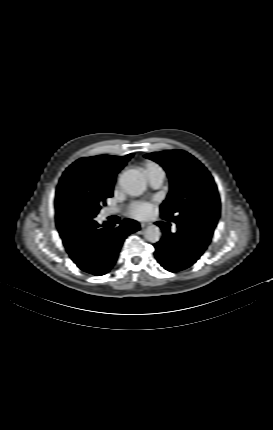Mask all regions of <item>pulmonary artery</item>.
I'll return each instance as SVG.
<instances>
[{"label":"pulmonary artery","mask_w":273,"mask_h":430,"mask_svg":"<svg viewBox=\"0 0 273 430\" xmlns=\"http://www.w3.org/2000/svg\"><path fill=\"white\" fill-rule=\"evenodd\" d=\"M148 180L150 182V185L152 186V188L154 189H158L161 187L163 181H164V172L162 169L160 170H155L153 172H151L148 176ZM106 213L108 215H111L114 213L113 209H108L106 211ZM177 230L176 227H173V231L175 232Z\"/></svg>","instance_id":"obj_1"}]
</instances>
